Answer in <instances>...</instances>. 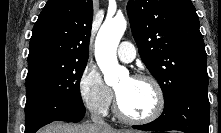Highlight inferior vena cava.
Listing matches in <instances>:
<instances>
[{
	"label": "inferior vena cava",
	"mask_w": 221,
	"mask_h": 133,
	"mask_svg": "<svg viewBox=\"0 0 221 133\" xmlns=\"http://www.w3.org/2000/svg\"><path fill=\"white\" fill-rule=\"evenodd\" d=\"M91 119L92 122L94 123V125L100 127V128H107L110 127L105 121L104 119L97 113H93L91 115Z\"/></svg>",
	"instance_id": "inferior-vena-cava-1"
}]
</instances>
